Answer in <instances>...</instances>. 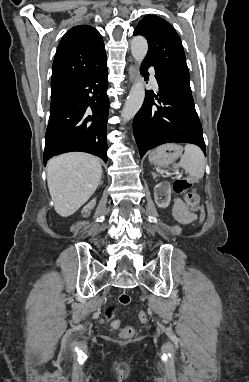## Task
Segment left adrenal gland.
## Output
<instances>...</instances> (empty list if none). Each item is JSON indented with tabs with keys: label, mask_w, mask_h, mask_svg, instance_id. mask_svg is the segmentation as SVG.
Listing matches in <instances>:
<instances>
[{
	"label": "left adrenal gland",
	"mask_w": 249,
	"mask_h": 382,
	"mask_svg": "<svg viewBox=\"0 0 249 382\" xmlns=\"http://www.w3.org/2000/svg\"><path fill=\"white\" fill-rule=\"evenodd\" d=\"M152 176L153 178L155 179L157 177V174H155L154 172H152Z\"/></svg>",
	"instance_id": "a2214340"
}]
</instances>
